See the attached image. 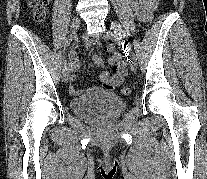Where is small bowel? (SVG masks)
Wrapping results in <instances>:
<instances>
[{"mask_svg": "<svg viewBox=\"0 0 207 179\" xmlns=\"http://www.w3.org/2000/svg\"><path fill=\"white\" fill-rule=\"evenodd\" d=\"M158 2L159 0H128V5L141 20L149 21ZM103 48L107 52H113L112 56L109 58V63L113 67V72L110 74L108 71H102L99 73V79L104 89L113 90L123 82L127 74V67L122 54L115 51L114 45L103 46ZM93 61L98 67L105 66L104 60L97 54L93 55ZM80 66V60L77 57H72L67 67L69 72H72L70 77L71 81L75 80V73L79 70ZM79 91L80 90L76 87L71 88L72 93H78Z\"/></svg>", "mask_w": 207, "mask_h": 179, "instance_id": "1", "label": "small bowel"}]
</instances>
